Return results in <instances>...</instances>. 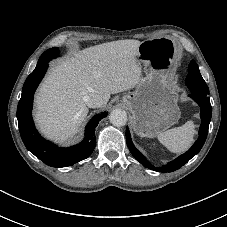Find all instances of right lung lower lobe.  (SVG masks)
Wrapping results in <instances>:
<instances>
[{
	"label": "right lung lower lobe",
	"instance_id": "right-lung-lower-lobe-1",
	"mask_svg": "<svg viewBox=\"0 0 227 227\" xmlns=\"http://www.w3.org/2000/svg\"><path fill=\"white\" fill-rule=\"evenodd\" d=\"M48 61H41L26 79L17 108V119L22 141L26 148L46 165L71 166L91 155L96 146L95 128L107 116L106 112L95 115L86 126L85 140L69 148H59L43 139L36 131L31 115L34 92L44 77Z\"/></svg>",
	"mask_w": 227,
	"mask_h": 227
}]
</instances>
